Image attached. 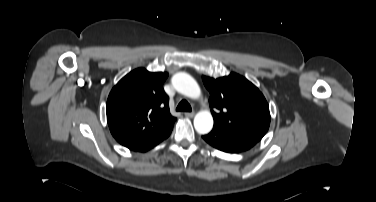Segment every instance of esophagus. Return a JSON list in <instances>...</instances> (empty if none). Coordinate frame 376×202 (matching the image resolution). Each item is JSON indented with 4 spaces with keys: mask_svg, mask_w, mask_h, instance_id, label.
<instances>
[{
    "mask_svg": "<svg viewBox=\"0 0 376 202\" xmlns=\"http://www.w3.org/2000/svg\"><path fill=\"white\" fill-rule=\"evenodd\" d=\"M184 114L186 117H190V118H192L195 115L194 112H185Z\"/></svg>",
    "mask_w": 376,
    "mask_h": 202,
    "instance_id": "34e87169",
    "label": "esophagus"
}]
</instances>
